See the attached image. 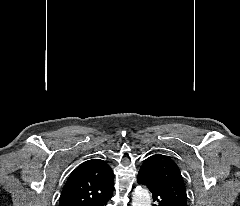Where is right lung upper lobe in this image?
Here are the masks:
<instances>
[{"label": "right lung upper lobe", "instance_id": "obj_1", "mask_svg": "<svg viewBox=\"0 0 240 206\" xmlns=\"http://www.w3.org/2000/svg\"><path fill=\"white\" fill-rule=\"evenodd\" d=\"M114 177L110 166L101 159L80 164L68 178L59 206H91L113 193Z\"/></svg>", "mask_w": 240, "mask_h": 206}]
</instances>
